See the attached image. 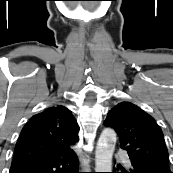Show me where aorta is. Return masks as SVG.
<instances>
[{
	"instance_id": "762f6f07",
	"label": "aorta",
	"mask_w": 173,
	"mask_h": 173,
	"mask_svg": "<svg viewBox=\"0 0 173 173\" xmlns=\"http://www.w3.org/2000/svg\"><path fill=\"white\" fill-rule=\"evenodd\" d=\"M116 133L113 129L105 128L97 142L95 152V171L111 172L112 157L116 144Z\"/></svg>"
}]
</instances>
